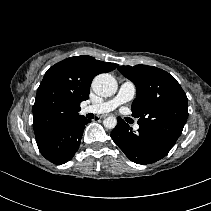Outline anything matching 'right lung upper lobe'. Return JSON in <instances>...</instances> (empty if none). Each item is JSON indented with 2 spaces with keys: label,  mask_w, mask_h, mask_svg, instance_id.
Returning a JSON list of instances; mask_svg holds the SVG:
<instances>
[{
  "label": "right lung upper lobe",
  "mask_w": 211,
  "mask_h": 211,
  "mask_svg": "<svg viewBox=\"0 0 211 211\" xmlns=\"http://www.w3.org/2000/svg\"><path fill=\"white\" fill-rule=\"evenodd\" d=\"M117 66L82 55L67 58L49 68L37 90L33 106L35 136L80 116V103L89 98L93 78Z\"/></svg>",
  "instance_id": "cb5924a9"
}]
</instances>
